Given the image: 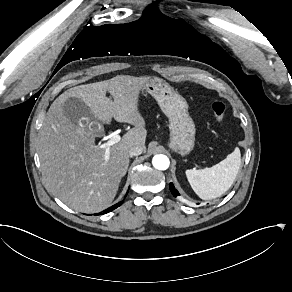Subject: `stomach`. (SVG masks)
<instances>
[{"mask_svg": "<svg viewBox=\"0 0 292 292\" xmlns=\"http://www.w3.org/2000/svg\"><path fill=\"white\" fill-rule=\"evenodd\" d=\"M146 89L168 118L169 137L166 145L181 156L189 155L195 147L196 126L188 112L187 101L161 79L152 78Z\"/></svg>", "mask_w": 292, "mask_h": 292, "instance_id": "stomach-1", "label": "stomach"}]
</instances>
